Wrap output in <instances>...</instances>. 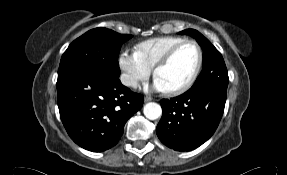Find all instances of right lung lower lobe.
<instances>
[{
    "mask_svg": "<svg viewBox=\"0 0 287 175\" xmlns=\"http://www.w3.org/2000/svg\"><path fill=\"white\" fill-rule=\"evenodd\" d=\"M58 107L71 139L82 148L102 152L118 143L127 120L144 97L120 82L89 71L58 78Z\"/></svg>",
    "mask_w": 287,
    "mask_h": 175,
    "instance_id": "98d812e1",
    "label": "right lung lower lobe"
}]
</instances>
